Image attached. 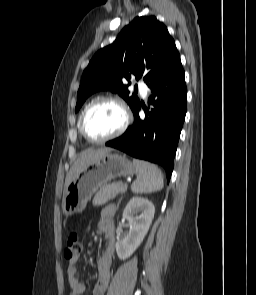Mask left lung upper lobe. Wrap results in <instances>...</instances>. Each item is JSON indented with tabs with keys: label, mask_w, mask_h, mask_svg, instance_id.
<instances>
[{
	"label": "left lung upper lobe",
	"mask_w": 256,
	"mask_h": 295,
	"mask_svg": "<svg viewBox=\"0 0 256 295\" xmlns=\"http://www.w3.org/2000/svg\"><path fill=\"white\" fill-rule=\"evenodd\" d=\"M180 60L179 52L166 26L154 16L136 17L117 39L99 50L84 70L77 93V112L85 100L102 89L118 93L132 111L139 105L129 95L130 79L144 77L149 85Z\"/></svg>",
	"instance_id": "5c2ea615"
}]
</instances>
